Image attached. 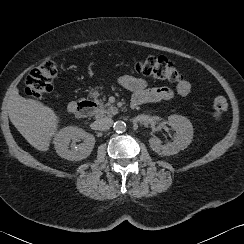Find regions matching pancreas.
<instances>
[{"instance_id":"obj_1","label":"pancreas","mask_w":244,"mask_h":244,"mask_svg":"<svg viewBox=\"0 0 244 244\" xmlns=\"http://www.w3.org/2000/svg\"><path fill=\"white\" fill-rule=\"evenodd\" d=\"M107 106H100L96 113V117L99 118V117H104V116H110L111 114L116 112V110H117L116 107H114L113 105H107Z\"/></svg>"}]
</instances>
